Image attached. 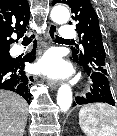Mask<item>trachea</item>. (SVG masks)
Segmentation results:
<instances>
[{
    "mask_svg": "<svg viewBox=\"0 0 117 136\" xmlns=\"http://www.w3.org/2000/svg\"><path fill=\"white\" fill-rule=\"evenodd\" d=\"M24 41H31V37H28V36H25L23 38ZM55 40L57 41H70V40H66V39H63L62 37H59V36H55Z\"/></svg>",
    "mask_w": 117,
    "mask_h": 136,
    "instance_id": "1",
    "label": "trachea"
}]
</instances>
